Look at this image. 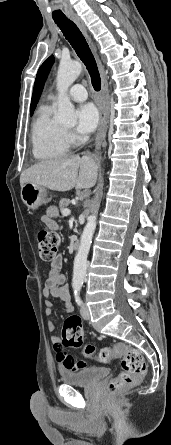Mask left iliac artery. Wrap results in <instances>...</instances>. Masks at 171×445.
Wrapping results in <instances>:
<instances>
[{"instance_id": "44dca946", "label": "left iliac artery", "mask_w": 171, "mask_h": 445, "mask_svg": "<svg viewBox=\"0 0 171 445\" xmlns=\"http://www.w3.org/2000/svg\"><path fill=\"white\" fill-rule=\"evenodd\" d=\"M80 286H75L74 287V297H75V301L78 305H81L82 301L80 298Z\"/></svg>"}]
</instances>
